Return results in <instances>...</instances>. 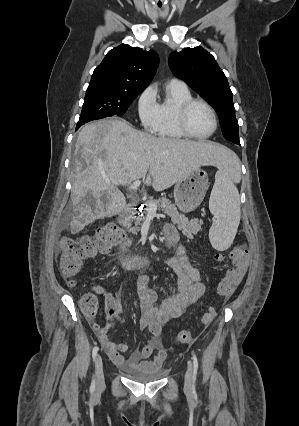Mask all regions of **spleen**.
<instances>
[{"instance_id":"spleen-1","label":"spleen","mask_w":299,"mask_h":426,"mask_svg":"<svg viewBox=\"0 0 299 426\" xmlns=\"http://www.w3.org/2000/svg\"><path fill=\"white\" fill-rule=\"evenodd\" d=\"M209 209L215 217L209 230L211 245L218 251L227 250L237 233L241 211L238 189L225 167L220 168L215 175Z\"/></svg>"}]
</instances>
